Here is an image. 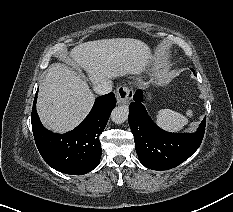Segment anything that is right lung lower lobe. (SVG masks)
<instances>
[{"mask_svg": "<svg viewBox=\"0 0 233 212\" xmlns=\"http://www.w3.org/2000/svg\"><path fill=\"white\" fill-rule=\"evenodd\" d=\"M37 94L31 115L37 148L46 163L55 170L72 175L92 171L99 163L102 149L99 135L103 132L116 104L113 93L98 97L84 121L65 134L48 131L36 111Z\"/></svg>", "mask_w": 233, "mask_h": 212, "instance_id": "right-lung-lower-lobe-1", "label": "right lung lower lobe"}]
</instances>
